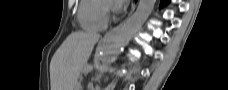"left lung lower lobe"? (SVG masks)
<instances>
[{
  "label": "left lung lower lobe",
  "mask_w": 228,
  "mask_h": 90,
  "mask_svg": "<svg viewBox=\"0 0 228 90\" xmlns=\"http://www.w3.org/2000/svg\"><path fill=\"white\" fill-rule=\"evenodd\" d=\"M168 2H169L168 0H161V5L163 6V5L167 4Z\"/></svg>",
  "instance_id": "0a47b994"
}]
</instances>
